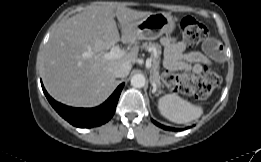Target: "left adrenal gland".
<instances>
[{"mask_svg":"<svg viewBox=\"0 0 261 162\" xmlns=\"http://www.w3.org/2000/svg\"><path fill=\"white\" fill-rule=\"evenodd\" d=\"M150 97H151V99H153V97L151 96V93H150Z\"/></svg>","mask_w":261,"mask_h":162,"instance_id":"left-adrenal-gland-1","label":"left adrenal gland"}]
</instances>
